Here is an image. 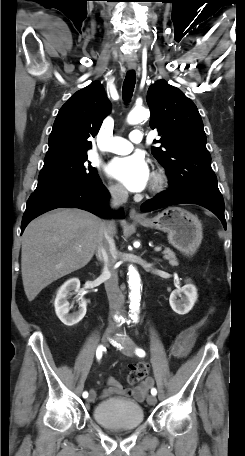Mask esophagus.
Returning <instances> with one entry per match:
<instances>
[{"label":"esophagus","mask_w":245,"mask_h":456,"mask_svg":"<svg viewBox=\"0 0 245 456\" xmlns=\"http://www.w3.org/2000/svg\"><path fill=\"white\" fill-rule=\"evenodd\" d=\"M128 68H129L130 70H134V69L136 68V66H135V65H129ZM129 216H130V218H131L132 220H142V219L144 218V217H143L140 213H138L137 210L134 209V208H132V209L130 210Z\"/></svg>","instance_id":"obj_1"}]
</instances>
